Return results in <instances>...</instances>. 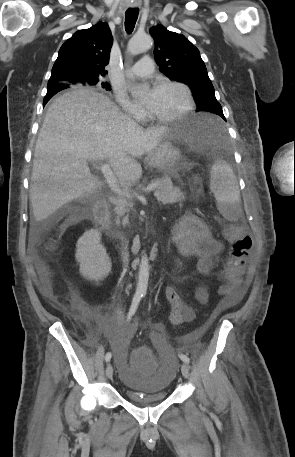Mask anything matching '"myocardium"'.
Here are the masks:
<instances>
[{
  "label": "myocardium",
  "mask_w": 295,
  "mask_h": 457,
  "mask_svg": "<svg viewBox=\"0 0 295 457\" xmlns=\"http://www.w3.org/2000/svg\"><path fill=\"white\" fill-rule=\"evenodd\" d=\"M162 86H175V87L180 88L183 91L185 99H186L185 107L180 112H178L174 115H171V116H158V115L154 114L148 108L147 115L150 120H152L154 122H159V123H170V122L178 121V120L184 118L193 110L194 98H193L190 88L186 84L179 82V81L164 79V80L158 81V83H157V87H162Z\"/></svg>",
  "instance_id": "obj_1"
}]
</instances>
